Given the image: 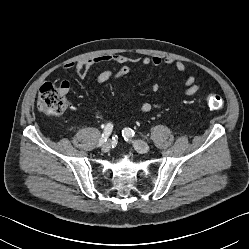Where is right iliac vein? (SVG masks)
<instances>
[{
  "label": "right iliac vein",
  "mask_w": 249,
  "mask_h": 249,
  "mask_svg": "<svg viewBox=\"0 0 249 249\" xmlns=\"http://www.w3.org/2000/svg\"><path fill=\"white\" fill-rule=\"evenodd\" d=\"M111 148V141L110 140H107L103 146H102V151L103 152H108Z\"/></svg>",
  "instance_id": "63e3f726"
}]
</instances>
